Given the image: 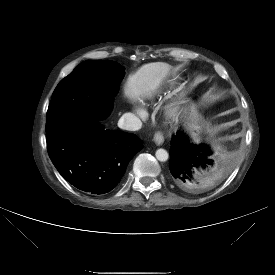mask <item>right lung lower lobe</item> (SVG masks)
Returning <instances> with one entry per match:
<instances>
[{"mask_svg":"<svg viewBox=\"0 0 275 275\" xmlns=\"http://www.w3.org/2000/svg\"><path fill=\"white\" fill-rule=\"evenodd\" d=\"M121 78L106 87V95L117 93ZM142 148L134 134L105 129L95 119H82L47 133L48 154L58 172L70 184L91 194L114 189Z\"/></svg>","mask_w":275,"mask_h":275,"instance_id":"1","label":"right lung lower lobe"}]
</instances>
